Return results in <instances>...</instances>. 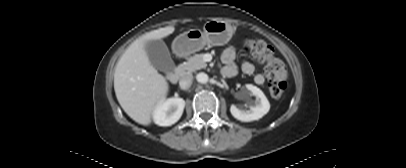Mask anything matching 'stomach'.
<instances>
[{"instance_id": "1", "label": "stomach", "mask_w": 406, "mask_h": 168, "mask_svg": "<svg viewBox=\"0 0 406 168\" xmlns=\"http://www.w3.org/2000/svg\"><path fill=\"white\" fill-rule=\"evenodd\" d=\"M233 35L232 26L224 21L212 20L203 26V31L190 29L175 38L172 44L177 56H188L200 51L205 45L221 46L226 44Z\"/></svg>"}]
</instances>
